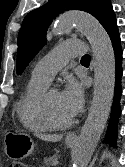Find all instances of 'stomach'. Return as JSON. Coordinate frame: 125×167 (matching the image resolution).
Listing matches in <instances>:
<instances>
[{"mask_svg": "<svg viewBox=\"0 0 125 167\" xmlns=\"http://www.w3.org/2000/svg\"><path fill=\"white\" fill-rule=\"evenodd\" d=\"M71 147L73 143L67 142ZM34 142L32 138L22 132H9L5 138V153L12 159H22L33 153Z\"/></svg>", "mask_w": 125, "mask_h": 167, "instance_id": "1", "label": "stomach"}]
</instances>
